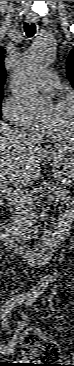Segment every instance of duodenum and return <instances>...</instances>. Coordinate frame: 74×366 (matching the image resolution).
Masks as SVG:
<instances>
[{"mask_svg":"<svg viewBox=\"0 0 74 366\" xmlns=\"http://www.w3.org/2000/svg\"><path fill=\"white\" fill-rule=\"evenodd\" d=\"M3 239L7 242H9L11 245L16 246L19 250L20 253L24 256V257H31L33 258L34 256V252L32 251V249L24 246V245H20L15 238L11 235L10 231L8 229H5L3 232ZM60 240V235L57 233H47L43 236L40 244L38 245V251L39 252H49L50 250L53 249V247L58 243V241Z\"/></svg>","mask_w":74,"mask_h":366,"instance_id":"1","label":"duodenum"}]
</instances>
